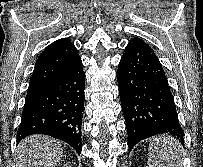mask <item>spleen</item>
I'll return each instance as SVG.
<instances>
[{"label":"spleen","instance_id":"3e777b00","mask_svg":"<svg viewBox=\"0 0 203 167\" xmlns=\"http://www.w3.org/2000/svg\"><path fill=\"white\" fill-rule=\"evenodd\" d=\"M148 167H181V145L174 138H154L149 144Z\"/></svg>","mask_w":203,"mask_h":167}]
</instances>
